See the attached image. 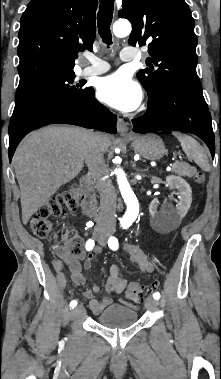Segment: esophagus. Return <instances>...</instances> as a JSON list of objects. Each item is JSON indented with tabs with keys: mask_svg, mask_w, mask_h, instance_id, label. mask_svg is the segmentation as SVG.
Returning <instances> with one entry per match:
<instances>
[{
	"mask_svg": "<svg viewBox=\"0 0 221 379\" xmlns=\"http://www.w3.org/2000/svg\"><path fill=\"white\" fill-rule=\"evenodd\" d=\"M117 131L122 136L128 135V125L122 118L117 120Z\"/></svg>",
	"mask_w": 221,
	"mask_h": 379,
	"instance_id": "1",
	"label": "esophagus"
}]
</instances>
